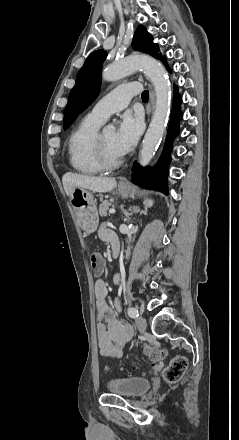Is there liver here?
Segmentation results:
<instances>
[{
    "instance_id": "1",
    "label": "liver",
    "mask_w": 239,
    "mask_h": 440,
    "mask_svg": "<svg viewBox=\"0 0 239 440\" xmlns=\"http://www.w3.org/2000/svg\"><path fill=\"white\" fill-rule=\"evenodd\" d=\"M63 188L67 196H71V192L76 188L83 190H92V192H111L117 186L115 178H95V176H83V174H72L67 172L62 178Z\"/></svg>"
}]
</instances>
